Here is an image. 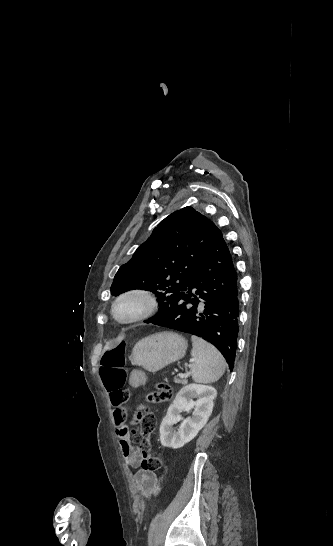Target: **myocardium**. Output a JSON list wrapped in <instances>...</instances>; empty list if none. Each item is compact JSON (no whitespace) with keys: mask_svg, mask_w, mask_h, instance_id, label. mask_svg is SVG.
Segmentation results:
<instances>
[{"mask_svg":"<svg viewBox=\"0 0 333 546\" xmlns=\"http://www.w3.org/2000/svg\"><path fill=\"white\" fill-rule=\"evenodd\" d=\"M125 305H132V311L120 316L119 310ZM159 308L157 295L146 288H130L120 293L111 304V316L122 325L134 324L152 316Z\"/></svg>","mask_w":333,"mask_h":546,"instance_id":"myocardium-1","label":"myocardium"}]
</instances>
